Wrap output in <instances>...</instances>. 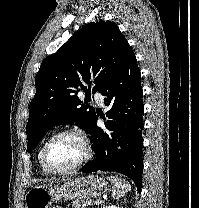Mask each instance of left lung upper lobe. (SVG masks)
<instances>
[{
	"label": "left lung upper lobe",
	"instance_id": "left-lung-upper-lobe-1",
	"mask_svg": "<svg viewBox=\"0 0 199 208\" xmlns=\"http://www.w3.org/2000/svg\"><path fill=\"white\" fill-rule=\"evenodd\" d=\"M133 55L117 25L99 21L86 24L48 56L35 77L36 94L26 125L28 152L56 125L76 122L89 133L96 113L81 104L78 91L90 94L94 83L93 93L99 92Z\"/></svg>",
	"mask_w": 199,
	"mask_h": 208
}]
</instances>
